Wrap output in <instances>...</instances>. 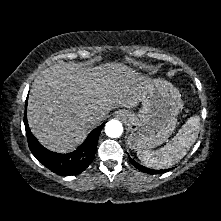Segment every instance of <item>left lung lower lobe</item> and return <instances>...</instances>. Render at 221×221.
<instances>
[{
	"label": "left lung lower lobe",
	"mask_w": 221,
	"mask_h": 221,
	"mask_svg": "<svg viewBox=\"0 0 221 221\" xmlns=\"http://www.w3.org/2000/svg\"><path fill=\"white\" fill-rule=\"evenodd\" d=\"M130 162L136 167L138 168L140 171L145 172V173H149V174H159V173H165L167 171H169L170 169H165V170H153V169H149L146 168L140 164H138L137 162H135L134 160H132L130 158V156H128Z\"/></svg>",
	"instance_id": "0a47b994"
}]
</instances>
